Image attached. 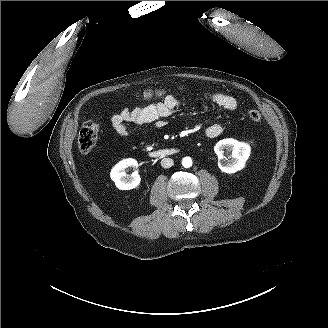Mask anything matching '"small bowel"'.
Here are the masks:
<instances>
[{"mask_svg": "<svg viewBox=\"0 0 328 328\" xmlns=\"http://www.w3.org/2000/svg\"><path fill=\"white\" fill-rule=\"evenodd\" d=\"M209 102L227 110L236 111L239 107L237 99L225 93H211L206 96ZM180 101L174 95H167L162 102L147 106L136 107L134 109L124 108L111 115V125L114 131L122 136H130L129 124L136 126L151 125L154 128H162L166 125L169 118L179 107ZM223 128L220 124H212L206 129V136L214 139L221 135Z\"/></svg>", "mask_w": 328, "mask_h": 328, "instance_id": "obj_1", "label": "small bowel"}]
</instances>
